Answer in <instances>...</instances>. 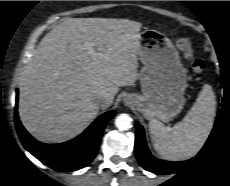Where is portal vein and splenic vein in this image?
Wrapping results in <instances>:
<instances>
[{"mask_svg":"<svg viewBox=\"0 0 230 186\" xmlns=\"http://www.w3.org/2000/svg\"><path fill=\"white\" fill-rule=\"evenodd\" d=\"M85 49L87 50V53L91 58L94 59L97 56V53L91 44L85 43Z\"/></svg>","mask_w":230,"mask_h":186,"instance_id":"18ae733b","label":"portal vein and splenic vein"}]
</instances>
